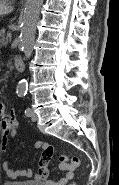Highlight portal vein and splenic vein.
Listing matches in <instances>:
<instances>
[{
	"mask_svg": "<svg viewBox=\"0 0 119 185\" xmlns=\"http://www.w3.org/2000/svg\"><path fill=\"white\" fill-rule=\"evenodd\" d=\"M7 38H9V39H11V38H12V34H11V32H8V33H7Z\"/></svg>",
	"mask_w": 119,
	"mask_h": 185,
	"instance_id": "portal-vein-and-splenic-vein-1",
	"label": "portal vein and splenic vein"
}]
</instances>
